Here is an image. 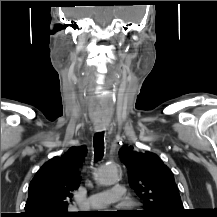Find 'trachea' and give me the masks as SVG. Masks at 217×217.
Wrapping results in <instances>:
<instances>
[{"label":"trachea","instance_id":"trachea-1","mask_svg":"<svg viewBox=\"0 0 217 217\" xmlns=\"http://www.w3.org/2000/svg\"><path fill=\"white\" fill-rule=\"evenodd\" d=\"M94 156L95 161H99L104 154V132H98L94 135Z\"/></svg>","mask_w":217,"mask_h":217}]
</instances>
